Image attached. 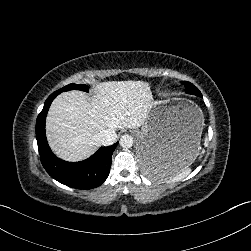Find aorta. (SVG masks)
Instances as JSON below:
<instances>
[{
    "label": "aorta",
    "mask_w": 251,
    "mask_h": 251,
    "mask_svg": "<svg viewBox=\"0 0 251 251\" xmlns=\"http://www.w3.org/2000/svg\"><path fill=\"white\" fill-rule=\"evenodd\" d=\"M119 143H120L121 147L129 148L133 145L134 139L131 135L124 134L121 136Z\"/></svg>",
    "instance_id": "aorta-1"
}]
</instances>
